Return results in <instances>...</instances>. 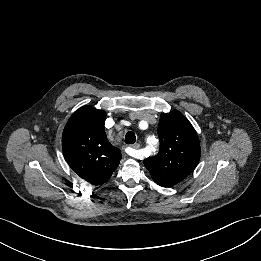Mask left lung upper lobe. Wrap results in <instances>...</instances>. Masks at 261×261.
Wrapping results in <instances>:
<instances>
[{
    "label": "left lung upper lobe",
    "mask_w": 261,
    "mask_h": 261,
    "mask_svg": "<svg viewBox=\"0 0 261 261\" xmlns=\"http://www.w3.org/2000/svg\"><path fill=\"white\" fill-rule=\"evenodd\" d=\"M159 153L144 160L153 180L171 187L184 180L197 166L200 144L196 131L179 111L163 113L158 125Z\"/></svg>",
    "instance_id": "5c2ea615"
}]
</instances>
